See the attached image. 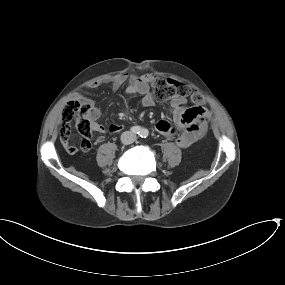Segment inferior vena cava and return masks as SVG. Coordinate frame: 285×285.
<instances>
[{
	"mask_svg": "<svg viewBox=\"0 0 285 285\" xmlns=\"http://www.w3.org/2000/svg\"><path fill=\"white\" fill-rule=\"evenodd\" d=\"M136 140V135L130 131H125L121 135V141L124 144H131Z\"/></svg>",
	"mask_w": 285,
	"mask_h": 285,
	"instance_id": "602c4592",
	"label": "inferior vena cava"
}]
</instances>
